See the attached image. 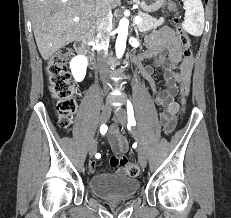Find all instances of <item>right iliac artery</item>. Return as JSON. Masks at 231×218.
<instances>
[{
  "mask_svg": "<svg viewBox=\"0 0 231 218\" xmlns=\"http://www.w3.org/2000/svg\"><path fill=\"white\" fill-rule=\"evenodd\" d=\"M106 132H107V126L106 125H101V127H100V133L104 135ZM95 157L97 159H99L101 157V154L97 153L95 155Z\"/></svg>",
  "mask_w": 231,
  "mask_h": 218,
  "instance_id": "82829eb1",
  "label": "right iliac artery"
}]
</instances>
